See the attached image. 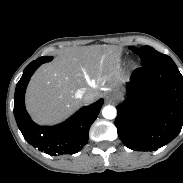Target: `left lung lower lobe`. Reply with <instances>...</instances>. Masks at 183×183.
<instances>
[{"mask_svg": "<svg viewBox=\"0 0 183 183\" xmlns=\"http://www.w3.org/2000/svg\"><path fill=\"white\" fill-rule=\"evenodd\" d=\"M118 136L126 147L155 151L168 144L183 125V76L176 64L136 69L127 99L116 107Z\"/></svg>", "mask_w": 183, "mask_h": 183, "instance_id": "obj_1", "label": "left lung lower lobe"}]
</instances>
